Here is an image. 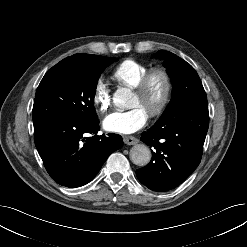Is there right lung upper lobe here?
I'll return each mask as SVG.
<instances>
[{
    "label": "right lung upper lobe",
    "instance_id": "obj_1",
    "mask_svg": "<svg viewBox=\"0 0 247 247\" xmlns=\"http://www.w3.org/2000/svg\"><path fill=\"white\" fill-rule=\"evenodd\" d=\"M97 55H91V54H75L71 57H67L60 61L59 63H71V62H86L93 58H95Z\"/></svg>",
    "mask_w": 247,
    "mask_h": 247
}]
</instances>
